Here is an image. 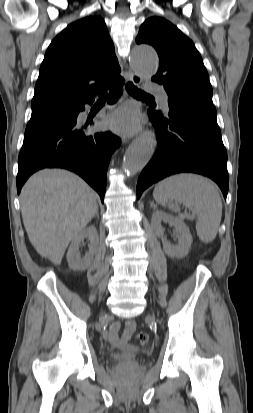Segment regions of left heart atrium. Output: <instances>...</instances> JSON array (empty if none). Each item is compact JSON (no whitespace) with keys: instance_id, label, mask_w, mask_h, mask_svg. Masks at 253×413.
I'll return each mask as SVG.
<instances>
[{"instance_id":"left-heart-atrium-1","label":"left heart atrium","mask_w":253,"mask_h":413,"mask_svg":"<svg viewBox=\"0 0 253 413\" xmlns=\"http://www.w3.org/2000/svg\"><path fill=\"white\" fill-rule=\"evenodd\" d=\"M107 123L123 134H130L137 129L139 121L133 108L124 107L111 114Z\"/></svg>"}]
</instances>
